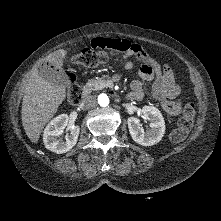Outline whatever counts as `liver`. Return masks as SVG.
I'll return each instance as SVG.
<instances>
[{"label":"liver","mask_w":221,"mask_h":221,"mask_svg":"<svg viewBox=\"0 0 221 221\" xmlns=\"http://www.w3.org/2000/svg\"><path fill=\"white\" fill-rule=\"evenodd\" d=\"M66 56L65 49L54 51L39 60L30 72L23 96L21 119L25 133L33 143L38 142L44 126L66 98L65 87L43 79L38 67L41 62L46 61L61 69Z\"/></svg>","instance_id":"1"}]
</instances>
